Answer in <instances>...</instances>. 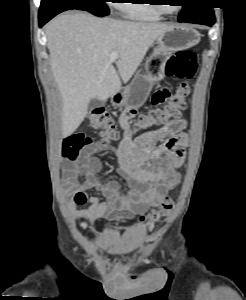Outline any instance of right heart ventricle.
Instances as JSON below:
<instances>
[{"label": "right heart ventricle", "instance_id": "1", "mask_svg": "<svg viewBox=\"0 0 246 300\" xmlns=\"http://www.w3.org/2000/svg\"><path fill=\"white\" fill-rule=\"evenodd\" d=\"M131 3L117 4L122 14L132 20L141 22H157L162 20L153 0H127Z\"/></svg>", "mask_w": 246, "mask_h": 300}]
</instances>
